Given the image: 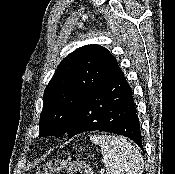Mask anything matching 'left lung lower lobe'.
<instances>
[{"label": "left lung lower lobe", "mask_w": 175, "mask_h": 174, "mask_svg": "<svg viewBox=\"0 0 175 174\" xmlns=\"http://www.w3.org/2000/svg\"><path fill=\"white\" fill-rule=\"evenodd\" d=\"M95 130L128 137L143 150L132 90L119 67L82 97L66 133L70 139Z\"/></svg>", "instance_id": "left-lung-lower-lobe-1"}]
</instances>
